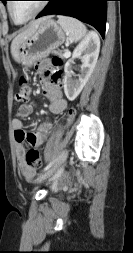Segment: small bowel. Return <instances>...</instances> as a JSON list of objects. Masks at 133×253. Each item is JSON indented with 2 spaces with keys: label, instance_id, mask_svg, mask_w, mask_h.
<instances>
[{
  "label": "small bowel",
  "instance_id": "obj_1",
  "mask_svg": "<svg viewBox=\"0 0 133 253\" xmlns=\"http://www.w3.org/2000/svg\"><path fill=\"white\" fill-rule=\"evenodd\" d=\"M36 70L42 80L43 94L50 101V112L53 114L63 113L67 108L68 101L63 95L60 71L53 68L50 61L46 59L36 64ZM33 110L34 106L29 102L28 104L21 105L17 110V117L12 120L18 167L22 174L28 179L34 177L36 170L27 163V151L24 143L28 142L34 148L40 147L52 130V125L50 123H45L30 132L24 130L22 119L28 117Z\"/></svg>",
  "mask_w": 133,
  "mask_h": 253
}]
</instances>
